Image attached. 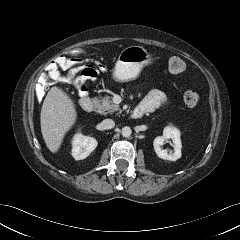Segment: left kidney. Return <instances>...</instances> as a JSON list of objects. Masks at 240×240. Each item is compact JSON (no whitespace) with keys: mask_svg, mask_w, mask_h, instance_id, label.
Returning a JSON list of instances; mask_svg holds the SVG:
<instances>
[{"mask_svg":"<svg viewBox=\"0 0 240 240\" xmlns=\"http://www.w3.org/2000/svg\"><path fill=\"white\" fill-rule=\"evenodd\" d=\"M168 139H171L173 142V153H168L166 149H162L161 146ZM154 150L157 156L164 160L176 161L181 158V139H180V131L173 127L167 126L163 130V136H158L153 141Z\"/></svg>","mask_w":240,"mask_h":240,"instance_id":"obj_1","label":"left kidney"}]
</instances>
